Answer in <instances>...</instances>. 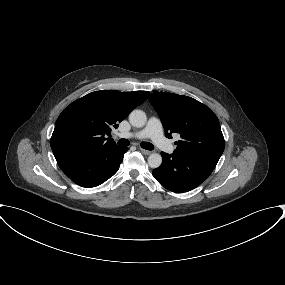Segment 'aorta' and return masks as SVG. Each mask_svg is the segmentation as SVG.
I'll return each mask as SVG.
<instances>
[{"mask_svg": "<svg viewBox=\"0 0 285 285\" xmlns=\"http://www.w3.org/2000/svg\"><path fill=\"white\" fill-rule=\"evenodd\" d=\"M129 122L132 126L141 128L147 122V116L142 110H133L129 115ZM148 164L151 168H158L162 164V157L158 153H152L148 157Z\"/></svg>", "mask_w": 285, "mask_h": 285, "instance_id": "obj_1", "label": "aorta"}]
</instances>
